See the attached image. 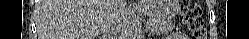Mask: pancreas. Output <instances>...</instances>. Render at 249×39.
I'll use <instances>...</instances> for the list:
<instances>
[{"label": "pancreas", "instance_id": "cf45deb5", "mask_svg": "<svg viewBox=\"0 0 249 39\" xmlns=\"http://www.w3.org/2000/svg\"><path fill=\"white\" fill-rule=\"evenodd\" d=\"M153 34H165L172 31L175 25L164 20H152L147 27Z\"/></svg>", "mask_w": 249, "mask_h": 39}]
</instances>
